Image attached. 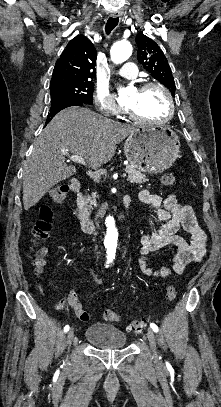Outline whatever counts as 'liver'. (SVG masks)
<instances>
[{
    "label": "liver",
    "instance_id": "obj_1",
    "mask_svg": "<svg viewBox=\"0 0 221 407\" xmlns=\"http://www.w3.org/2000/svg\"><path fill=\"white\" fill-rule=\"evenodd\" d=\"M137 127L107 118L87 108L69 107L49 122L34 142L23 170V204L28 210L56 184L76 173L65 154L83 157L97 169L108 163L117 144Z\"/></svg>",
    "mask_w": 221,
    "mask_h": 407
}]
</instances>
